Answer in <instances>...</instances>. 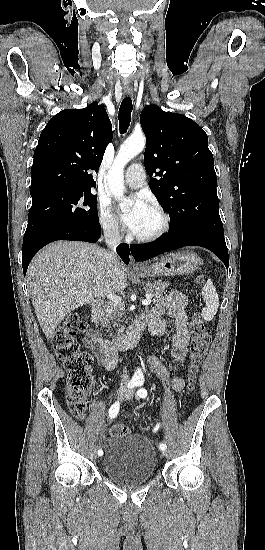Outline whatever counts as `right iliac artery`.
Here are the masks:
<instances>
[{
    "mask_svg": "<svg viewBox=\"0 0 265 550\" xmlns=\"http://www.w3.org/2000/svg\"><path fill=\"white\" fill-rule=\"evenodd\" d=\"M137 381H138L137 378H132V379L129 381L128 385H127L128 389L135 387L136 384H137ZM119 409H120V402L117 401V402H115V403L110 407V409H109V417H110V418H115V417L117 416L118 412H119ZM101 453H102V450H99V451H98V454H101Z\"/></svg>",
    "mask_w": 265,
    "mask_h": 550,
    "instance_id": "right-iliac-artery-1",
    "label": "right iliac artery"
}]
</instances>
